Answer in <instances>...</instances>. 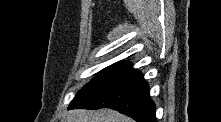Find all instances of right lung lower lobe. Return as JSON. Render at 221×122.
Returning <instances> with one entry per match:
<instances>
[{
  "label": "right lung lower lobe",
  "instance_id": "right-lung-lower-lobe-1",
  "mask_svg": "<svg viewBox=\"0 0 221 122\" xmlns=\"http://www.w3.org/2000/svg\"><path fill=\"white\" fill-rule=\"evenodd\" d=\"M72 108H111L137 122H157L156 107L149 96V86L143 74L137 70L103 92L71 104L69 109Z\"/></svg>",
  "mask_w": 221,
  "mask_h": 122
}]
</instances>
